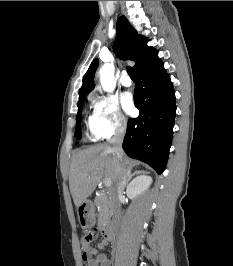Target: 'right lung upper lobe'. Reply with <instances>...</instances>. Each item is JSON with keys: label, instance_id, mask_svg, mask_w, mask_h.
I'll return each instance as SVG.
<instances>
[{"label": "right lung upper lobe", "instance_id": "cb5924a9", "mask_svg": "<svg viewBox=\"0 0 233 266\" xmlns=\"http://www.w3.org/2000/svg\"><path fill=\"white\" fill-rule=\"evenodd\" d=\"M115 54L120 59L135 61V72L157 56V51L146 44V38L138 35L125 16L118 19L117 36L113 45ZM98 66V59L93 60L83 78L79 91V99L84 98L94 88V74Z\"/></svg>", "mask_w": 233, "mask_h": 266}]
</instances>
